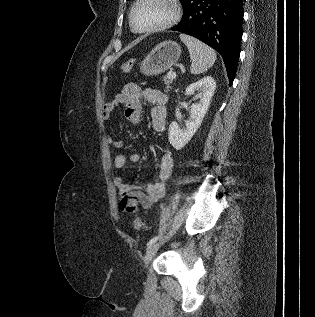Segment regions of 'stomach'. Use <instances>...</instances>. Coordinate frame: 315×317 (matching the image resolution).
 <instances>
[{
  "mask_svg": "<svg viewBox=\"0 0 315 317\" xmlns=\"http://www.w3.org/2000/svg\"><path fill=\"white\" fill-rule=\"evenodd\" d=\"M181 47L174 41H164L140 63V71L147 76L158 75L171 68L179 59Z\"/></svg>",
  "mask_w": 315,
  "mask_h": 317,
  "instance_id": "1",
  "label": "stomach"
}]
</instances>
